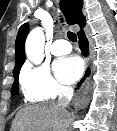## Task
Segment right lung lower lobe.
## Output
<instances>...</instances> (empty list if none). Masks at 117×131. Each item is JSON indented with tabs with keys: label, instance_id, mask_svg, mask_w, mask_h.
<instances>
[{
	"label": "right lung lower lobe",
	"instance_id": "98d812e1",
	"mask_svg": "<svg viewBox=\"0 0 117 131\" xmlns=\"http://www.w3.org/2000/svg\"><path fill=\"white\" fill-rule=\"evenodd\" d=\"M78 38H79L80 49L82 50L83 54L85 56H87L88 55V40H87V38L85 36V33L82 32V33L78 34ZM88 74H89V71H86V75L85 76H87ZM84 78L79 82V84H78L79 86L83 82Z\"/></svg>",
	"mask_w": 117,
	"mask_h": 131
}]
</instances>
